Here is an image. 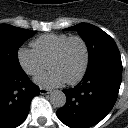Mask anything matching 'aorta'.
Here are the masks:
<instances>
[{"instance_id":"obj_1","label":"aorta","mask_w":128,"mask_h":128,"mask_svg":"<svg viewBox=\"0 0 128 128\" xmlns=\"http://www.w3.org/2000/svg\"><path fill=\"white\" fill-rule=\"evenodd\" d=\"M50 103L56 108H61L66 103V95L61 90H54L50 94Z\"/></svg>"}]
</instances>
